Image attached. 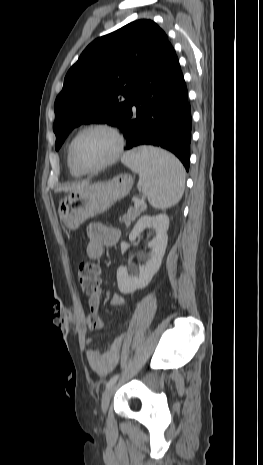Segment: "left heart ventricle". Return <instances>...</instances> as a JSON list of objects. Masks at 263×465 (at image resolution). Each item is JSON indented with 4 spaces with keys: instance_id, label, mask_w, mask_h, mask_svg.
I'll return each mask as SVG.
<instances>
[{
    "instance_id": "b2bd125f",
    "label": "left heart ventricle",
    "mask_w": 263,
    "mask_h": 465,
    "mask_svg": "<svg viewBox=\"0 0 263 465\" xmlns=\"http://www.w3.org/2000/svg\"><path fill=\"white\" fill-rule=\"evenodd\" d=\"M115 146V140L110 133L91 130L82 134L76 141L75 159L84 168H94L113 155Z\"/></svg>"
}]
</instances>
